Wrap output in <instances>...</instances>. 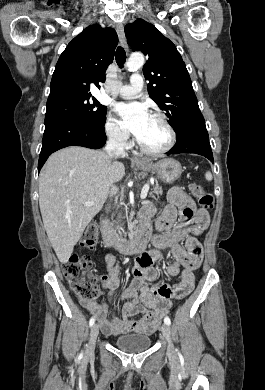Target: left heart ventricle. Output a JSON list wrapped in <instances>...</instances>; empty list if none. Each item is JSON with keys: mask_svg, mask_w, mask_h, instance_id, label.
Returning <instances> with one entry per match:
<instances>
[{"mask_svg": "<svg viewBox=\"0 0 265 390\" xmlns=\"http://www.w3.org/2000/svg\"><path fill=\"white\" fill-rule=\"evenodd\" d=\"M138 139L145 147L156 150L166 145L168 133L160 121L150 116Z\"/></svg>", "mask_w": 265, "mask_h": 390, "instance_id": "1", "label": "left heart ventricle"}]
</instances>
